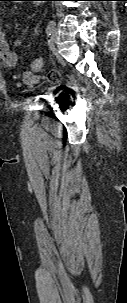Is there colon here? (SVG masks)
I'll return each mask as SVG.
<instances>
[{"label": "colon", "instance_id": "colon-1", "mask_svg": "<svg viewBox=\"0 0 127 303\" xmlns=\"http://www.w3.org/2000/svg\"><path fill=\"white\" fill-rule=\"evenodd\" d=\"M42 66V59L41 58H36L33 62V69L35 71H38ZM48 79L51 83L56 84L59 82V74L57 72H51L50 74H48Z\"/></svg>", "mask_w": 127, "mask_h": 303}]
</instances>
